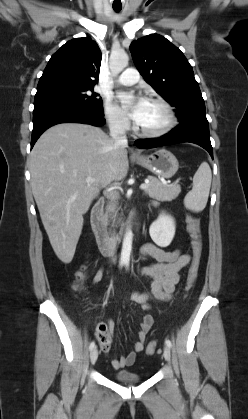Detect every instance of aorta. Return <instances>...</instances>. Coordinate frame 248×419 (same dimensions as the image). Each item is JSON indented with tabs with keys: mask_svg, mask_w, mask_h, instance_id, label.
<instances>
[{
	"mask_svg": "<svg viewBox=\"0 0 248 419\" xmlns=\"http://www.w3.org/2000/svg\"><path fill=\"white\" fill-rule=\"evenodd\" d=\"M129 57L126 53H113L110 56L109 67L113 76L118 75L125 67L128 66ZM133 234L131 230H127L122 243L121 263L129 264L130 253L132 248Z\"/></svg>",
	"mask_w": 248,
	"mask_h": 419,
	"instance_id": "obj_1",
	"label": "aorta"
}]
</instances>
